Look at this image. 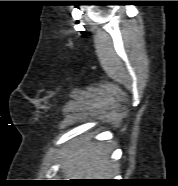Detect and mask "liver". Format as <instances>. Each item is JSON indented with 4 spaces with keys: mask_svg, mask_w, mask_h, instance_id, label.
Returning a JSON list of instances; mask_svg holds the SVG:
<instances>
[{
    "mask_svg": "<svg viewBox=\"0 0 178 186\" xmlns=\"http://www.w3.org/2000/svg\"><path fill=\"white\" fill-rule=\"evenodd\" d=\"M110 150L90 137L74 140L62 155V172L66 180L111 179L116 168L109 159Z\"/></svg>",
    "mask_w": 178,
    "mask_h": 186,
    "instance_id": "6515ba94",
    "label": "liver"
}]
</instances>
